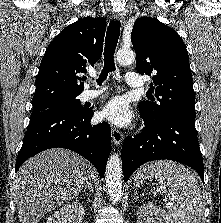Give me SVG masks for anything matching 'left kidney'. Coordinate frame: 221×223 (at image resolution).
<instances>
[{"label":"left kidney","instance_id":"5707ae66","mask_svg":"<svg viewBox=\"0 0 221 223\" xmlns=\"http://www.w3.org/2000/svg\"><path fill=\"white\" fill-rule=\"evenodd\" d=\"M137 223H173V221L159 206L143 204L137 212Z\"/></svg>","mask_w":221,"mask_h":223}]
</instances>
